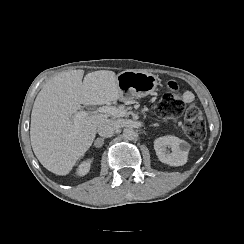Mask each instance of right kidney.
Wrapping results in <instances>:
<instances>
[{"mask_svg":"<svg viewBox=\"0 0 244 244\" xmlns=\"http://www.w3.org/2000/svg\"><path fill=\"white\" fill-rule=\"evenodd\" d=\"M89 169H90V164L88 162H84L80 165V167L78 169V174L84 175V174L88 173Z\"/></svg>","mask_w":244,"mask_h":244,"instance_id":"obj_1","label":"right kidney"}]
</instances>
